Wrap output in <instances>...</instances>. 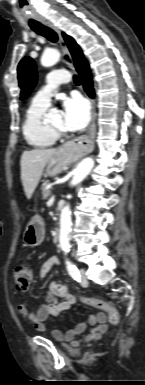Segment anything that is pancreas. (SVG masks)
<instances>
[{
    "instance_id": "cf45deb5",
    "label": "pancreas",
    "mask_w": 145,
    "mask_h": 385,
    "mask_svg": "<svg viewBox=\"0 0 145 385\" xmlns=\"http://www.w3.org/2000/svg\"><path fill=\"white\" fill-rule=\"evenodd\" d=\"M51 194V191L49 189H47L46 186L43 187L42 189V196H43V199H47Z\"/></svg>"
}]
</instances>
